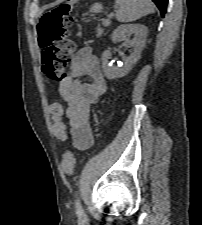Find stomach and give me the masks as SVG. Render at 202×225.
Wrapping results in <instances>:
<instances>
[{"label":"stomach","mask_w":202,"mask_h":225,"mask_svg":"<svg viewBox=\"0 0 202 225\" xmlns=\"http://www.w3.org/2000/svg\"><path fill=\"white\" fill-rule=\"evenodd\" d=\"M102 9H103V7L100 3H94L90 8V12L91 13H99L102 11Z\"/></svg>","instance_id":"stomach-1"}]
</instances>
